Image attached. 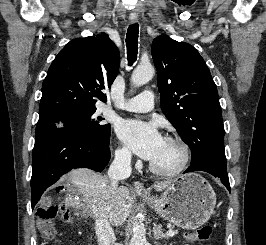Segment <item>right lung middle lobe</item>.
Returning a JSON list of instances; mask_svg holds the SVG:
<instances>
[{
    "label": "right lung middle lobe",
    "instance_id": "obj_1",
    "mask_svg": "<svg viewBox=\"0 0 266 245\" xmlns=\"http://www.w3.org/2000/svg\"><path fill=\"white\" fill-rule=\"evenodd\" d=\"M96 108L73 110L56 117L38 121L35 138L63 128L79 133L97 143L105 144L110 140L111 126L100 124L101 117H95Z\"/></svg>",
    "mask_w": 266,
    "mask_h": 245
}]
</instances>
